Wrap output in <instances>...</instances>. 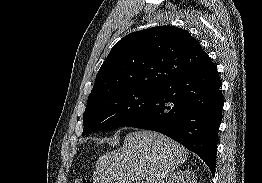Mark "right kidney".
Returning <instances> with one entry per match:
<instances>
[{
  "label": "right kidney",
  "mask_w": 262,
  "mask_h": 183,
  "mask_svg": "<svg viewBox=\"0 0 262 183\" xmlns=\"http://www.w3.org/2000/svg\"><path fill=\"white\" fill-rule=\"evenodd\" d=\"M168 183H197L194 172L190 170H179L171 175Z\"/></svg>",
  "instance_id": "right-kidney-1"
}]
</instances>
